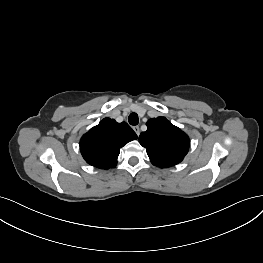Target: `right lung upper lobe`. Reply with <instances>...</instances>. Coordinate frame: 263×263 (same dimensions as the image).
Instances as JSON below:
<instances>
[{"instance_id":"1","label":"right lung upper lobe","mask_w":263,"mask_h":263,"mask_svg":"<svg viewBox=\"0 0 263 263\" xmlns=\"http://www.w3.org/2000/svg\"><path fill=\"white\" fill-rule=\"evenodd\" d=\"M135 139L136 133L126 122L104 118L82 136L80 151L88 164L109 169L117 164L120 148Z\"/></svg>"}]
</instances>
